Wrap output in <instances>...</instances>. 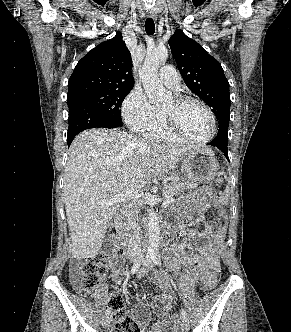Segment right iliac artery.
Returning <instances> with one entry per match:
<instances>
[{"mask_svg":"<svg viewBox=\"0 0 291 332\" xmlns=\"http://www.w3.org/2000/svg\"><path fill=\"white\" fill-rule=\"evenodd\" d=\"M140 266H141V260L134 263V265L131 268V273L132 274L136 273L139 270ZM110 312H111V310L108 308L105 312V315L108 316L110 314Z\"/></svg>","mask_w":291,"mask_h":332,"instance_id":"82829eb1","label":"right iliac artery"}]
</instances>
